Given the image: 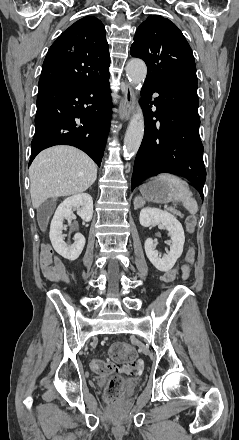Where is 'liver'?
<instances>
[{
    "mask_svg": "<svg viewBox=\"0 0 239 440\" xmlns=\"http://www.w3.org/2000/svg\"><path fill=\"white\" fill-rule=\"evenodd\" d=\"M32 206L37 210L48 198L82 194L94 184L97 166L81 150L53 146L33 160L30 170Z\"/></svg>",
    "mask_w": 239,
    "mask_h": 440,
    "instance_id": "liver-1",
    "label": "liver"
}]
</instances>
